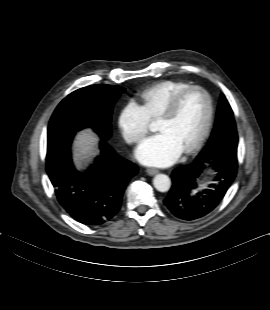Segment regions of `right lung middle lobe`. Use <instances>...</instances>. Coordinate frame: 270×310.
<instances>
[{
  "label": "right lung middle lobe",
  "mask_w": 270,
  "mask_h": 310,
  "mask_svg": "<svg viewBox=\"0 0 270 310\" xmlns=\"http://www.w3.org/2000/svg\"><path fill=\"white\" fill-rule=\"evenodd\" d=\"M125 89L97 84L78 89L57 106L48 126V135L57 133L73 136L76 131L90 127L102 140L111 136L113 105Z\"/></svg>",
  "instance_id": "1"
}]
</instances>
